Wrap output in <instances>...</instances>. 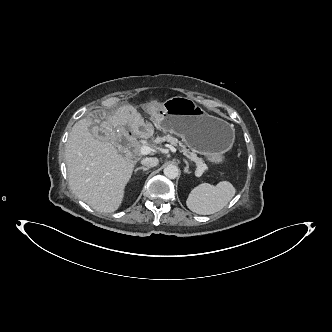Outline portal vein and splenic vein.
<instances>
[{
	"label": "portal vein and splenic vein",
	"instance_id": "obj_1",
	"mask_svg": "<svg viewBox=\"0 0 332 332\" xmlns=\"http://www.w3.org/2000/svg\"><path fill=\"white\" fill-rule=\"evenodd\" d=\"M169 148H170V150L172 151V152H176V148L174 147V146H172V145H170L169 146ZM152 151V149L149 147V146H142L141 148H140V153L142 154V155H148L150 152ZM184 154V153H183ZM185 156H186V154H184ZM203 170H196V176L197 177H200L202 174H203Z\"/></svg>",
	"mask_w": 332,
	"mask_h": 332
}]
</instances>
